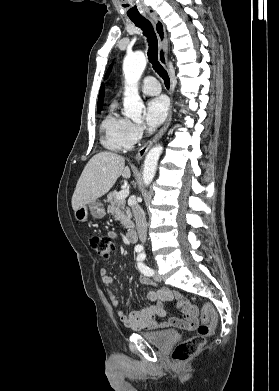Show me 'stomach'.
I'll return each instance as SVG.
<instances>
[{
  "mask_svg": "<svg viewBox=\"0 0 279 391\" xmlns=\"http://www.w3.org/2000/svg\"><path fill=\"white\" fill-rule=\"evenodd\" d=\"M89 213L95 219H100L106 214L102 203L93 201L77 209L74 216L77 221L84 222L88 219Z\"/></svg>",
  "mask_w": 279,
  "mask_h": 391,
  "instance_id": "1",
  "label": "stomach"
}]
</instances>
